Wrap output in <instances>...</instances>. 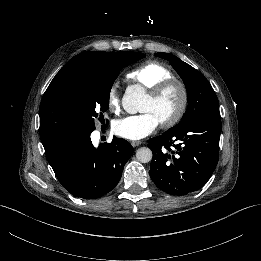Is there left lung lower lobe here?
I'll use <instances>...</instances> for the list:
<instances>
[{"instance_id": "left-lung-lower-lobe-1", "label": "left lung lower lobe", "mask_w": 261, "mask_h": 261, "mask_svg": "<svg viewBox=\"0 0 261 261\" xmlns=\"http://www.w3.org/2000/svg\"><path fill=\"white\" fill-rule=\"evenodd\" d=\"M221 129V121L204 118L150 139V177L155 185L171 195L202 188L218 163Z\"/></svg>"}]
</instances>
